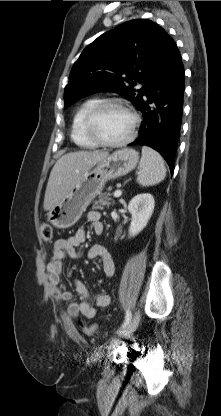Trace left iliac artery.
<instances>
[{
  "mask_svg": "<svg viewBox=\"0 0 221 416\" xmlns=\"http://www.w3.org/2000/svg\"><path fill=\"white\" fill-rule=\"evenodd\" d=\"M131 318H132V314L129 310H127L125 320H124V323L122 324L121 329H124L129 324V322L131 321Z\"/></svg>",
  "mask_w": 221,
  "mask_h": 416,
  "instance_id": "obj_1",
  "label": "left iliac artery"
}]
</instances>
